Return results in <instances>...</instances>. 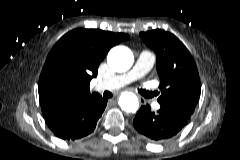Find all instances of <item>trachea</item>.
Here are the masks:
<instances>
[{
    "label": "trachea",
    "mask_w": 240,
    "mask_h": 160,
    "mask_svg": "<svg viewBox=\"0 0 240 160\" xmlns=\"http://www.w3.org/2000/svg\"><path fill=\"white\" fill-rule=\"evenodd\" d=\"M140 92H142L144 95H146L148 97L151 96L149 92H146L144 90H141ZM104 96L105 97H111V93L106 91V92H104Z\"/></svg>",
    "instance_id": "trachea-1"
}]
</instances>
